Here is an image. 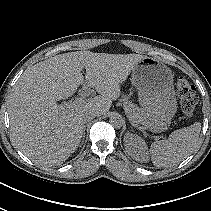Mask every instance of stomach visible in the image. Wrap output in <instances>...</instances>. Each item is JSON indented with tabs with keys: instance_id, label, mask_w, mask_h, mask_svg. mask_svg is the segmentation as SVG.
<instances>
[{
	"instance_id": "stomach-1",
	"label": "stomach",
	"mask_w": 211,
	"mask_h": 211,
	"mask_svg": "<svg viewBox=\"0 0 211 211\" xmlns=\"http://www.w3.org/2000/svg\"><path fill=\"white\" fill-rule=\"evenodd\" d=\"M131 77L143 109V128L152 132L166 130L177 110L171 69L157 58L144 56Z\"/></svg>"
}]
</instances>
